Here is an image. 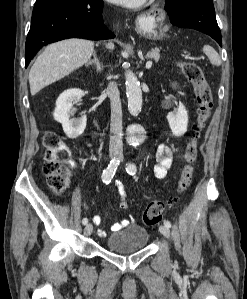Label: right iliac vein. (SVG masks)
<instances>
[{
  "label": "right iliac vein",
  "instance_id": "obj_1",
  "mask_svg": "<svg viewBox=\"0 0 247 299\" xmlns=\"http://www.w3.org/2000/svg\"><path fill=\"white\" fill-rule=\"evenodd\" d=\"M93 231V226L91 223L87 224L84 228L85 235L89 236Z\"/></svg>",
  "mask_w": 247,
  "mask_h": 299
}]
</instances>
